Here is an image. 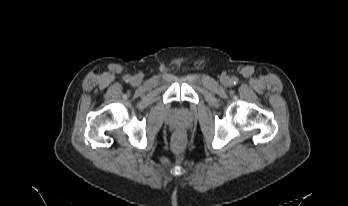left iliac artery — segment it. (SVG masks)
Masks as SVG:
<instances>
[{
  "label": "left iliac artery",
  "instance_id": "obj_1",
  "mask_svg": "<svg viewBox=\"0 0 348 206\" xmlns=\"http://www.w3.org/2000/svg\"><path fill=\"white\" fill-rule=\"evenodd\" d=\"M232 83H233L234 85H236V84L238 83V79H237L236 77H233V78H232Z\"/></svg>",
  "mask_w": 348,
  "mask_h": 206
}]
</instances>
